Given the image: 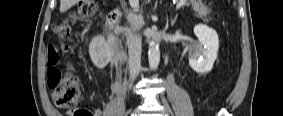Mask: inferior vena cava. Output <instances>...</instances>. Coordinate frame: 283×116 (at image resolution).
I'll return each mask as SVG.
<instances>
[{"instance_id": "inferior-vena-cava-1", "label": "inferior vena cava", "mask_w": 283, "mask_h": 116, "mask_svg": "<svg viewBox=\"0 0 283 116\" xmlns=\"http://www.w3.org/2000/svg\"><path fill=\"white\" fill-rule=\"evenodd\" d=\"M127 45L129 54L130 77L134 80L141 70V37L137 32L128 31Z\"/></svg>"}]
</instances>
